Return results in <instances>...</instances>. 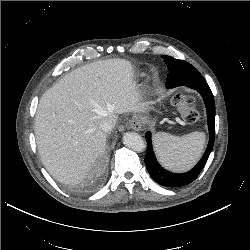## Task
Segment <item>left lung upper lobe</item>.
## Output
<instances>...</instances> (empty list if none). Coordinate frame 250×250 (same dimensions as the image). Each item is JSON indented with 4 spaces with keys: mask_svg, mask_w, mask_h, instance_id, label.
Segmentation results:
<instances>
[{
    "mask_svg": "<svg viewBox=\"0 0 250 250\" xmlns=\"http://www.w3.org/2000/svg\"><path fill=\"white\" fill-rule=\"evenodd\" d=\"M163 58H164V61L166 62L168 69H169V74H168L167 80H166V87L167 88H173V87H175V84H177L179 82H183L184 80H191V77H190V79H185L182 75L173 73L174 71H173L172 67L176 66L174 63L179 61L178 59H175V58L170 57V56H163ZM174 70H179V69L175 68ZM192 78L196 79V80H199L201 78L203 79L202 75L198 71H197L195 76H192Z\"/></svg>",
    "mask_w": 250,
    "mask_h": 250,
    "instance_id": "1",
    "label": "left lung upper lobe"
}]
</instances>
